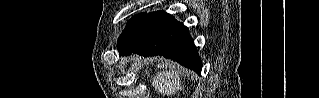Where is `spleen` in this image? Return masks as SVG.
I'll use <instances>...</instances> for the list:
<instances>
[{
	"mask_svg": "<svg viewBox=\"0 0 319 98\" xmlns=\"http://www.w3.org/2000/svg\"><path fill=\"white\" fill-rule=\"evenodd\" d=\"M181 71L173 69L171 71H160L152 79V86L158 93L163 95L172 96L183 88L178 78Z\"/></svg>",
	"mask_w": 319,
	"mask_h": 98,
	"instance_id": "1",
	"label": "spleen"
}]
</instances>
